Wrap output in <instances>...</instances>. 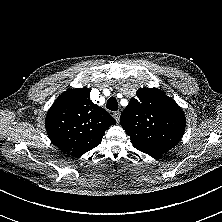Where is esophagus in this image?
Listing matches in <instances>:
<instances>
[{"mask_svg":"<svg viewBox=\"0 0 222 222\" xmlns=\"http://www.w3.org/2000/svg\"><path fill=\"white\" fill-rule=\"evenodd\" d=\"M113 117L116 119L117 122H119L120 119V111H116L113 113Z\"/></svg>","mask_w":222,"mask_h":222,"instance_id":"obj_1","label":"esophagus"}]
</instances>
